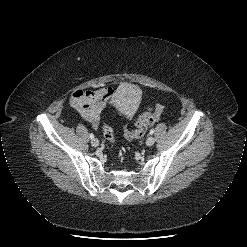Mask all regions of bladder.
<instances>
[{"label": "bladder", "instance_id": "31cf9c89", "mask_svg": "<svg viewBox=\"0 0 247 247\" xmlns=\"http://www.w3.org/2000/svg\"><path fill=\"white\" fill-rule=\"evenodd\" d=\"M125 87H126L127 89L131 90V91H134L136 94H138V89H137L136 86L131 85V84H127Z\"/></svg>", "mask_w": 247, "mask_h": 247}]
</instances>
